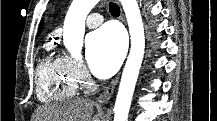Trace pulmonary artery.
<instances>
[{"instance_id": "e3ab8cb5", "label": "pulmonary artery", "mask_w": 217, "mask_h": 121, "mask_svg": "<svg viewBox=\"0 0 217 121\" xmlns=\"http://www.w3.org/2000/svg\"><path fill=\"white\" fill-rule=\"evenodd\" d=\"M103 21V17L99 13H91L86 20V24L89 28L98 27Z\"/></svg>"}]
</instances>
